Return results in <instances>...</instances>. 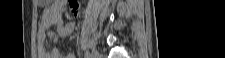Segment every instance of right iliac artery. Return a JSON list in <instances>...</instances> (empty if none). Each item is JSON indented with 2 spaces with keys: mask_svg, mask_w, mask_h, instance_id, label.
I'll return each mask as SVG.
<instances>
[{
  "mask_svg": "<svg viewBox=\"0 0 225 58\" xmlns=\"http://www.w3.org/2000/svg\"><path fill=\"white\" fill-rule=\"evenodd\" d=\"M84 58H90V54L88 52L85 53Z\"/></svg>",
  "mask_w": 225,
  "mask_h": 58,
  "instance_id": "82829eb1",
  "label": "right iliac artery"
}]
</instances>
